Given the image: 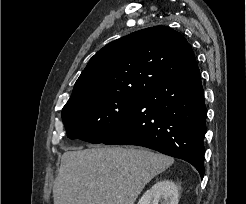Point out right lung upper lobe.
Here are the masks:
<instances>
[{
    "mask_svg": "<svg viewBox=\"0 0 246 204\" xmlns=\"http://www.w3.org/2000/svg\"><path fill=\"white\" fill-rule=\"evenodd\" d=\"M195 62L192 47L181 33L166 26L136 31L109 43L90 59L64 107L104 95L142 94Z\"/></svg>",
    "mask_w": 246,
    "mask_h": 204,
    "instance_id": "obj_1",
    "label": "right lung upper lobe"
}]
</instances>
